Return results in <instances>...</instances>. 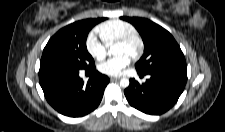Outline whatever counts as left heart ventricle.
Masks as SVG:
<instances>
[{
    "label": "left heart ventricle",
    "mask_w": 225,
    "mask_h": 132,
    "mask_svg": "<svg viewBox=\"0 0 225 132\" xmlns=\"http://www.w3.org/2000/svg\"><path fill=\"white\" fill-rule=\"evenodd\" d=\"M136 50V45H121V44H116L114 47V53L116 55H120V54H128V55H132L134 53V51Z\"/></svg>",
    "instance_id": "left-heart-ventricle-1"
}]
</instances>
